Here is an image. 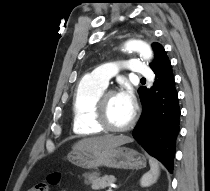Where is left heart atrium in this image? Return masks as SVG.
I'll use <instances>...</instances> for the list:
<instances>
[{
  "label": "left heart atrium",
  "instance_id": "obj_1",
  "mask_svg": "<svg viewBox=\"0 0 210 191\" xmlns=\"http://www.w3.org/2000/svg\"><path fill=\"white\" fill-rule=\"evenodd\" d=\"M119 98L130 108H134L135 99L130 87L125 86L118 93Z\"/></svg>",
  "mask_w": 210,
  "mask_h": 191
}]
</instances>
